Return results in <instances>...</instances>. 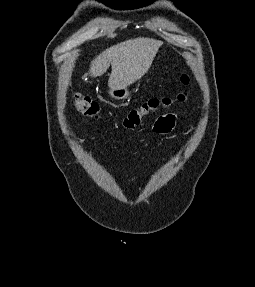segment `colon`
Instances as JSON below:
<instances>
[{"mask_svg":"<svg viewBox=\"0 0 255 287\" xmlns=\"http://www.w3.org/2000/svg\"><path fill=\"white\" fill-rule=\"evenodd\" d=\"M183 84L189 83V77L186 74L181 76ZM187 95L182 93L178 96V101L184 102ZM76 109L85 117L97 119L100 115L99 104L92 98L84 96L80 93L74 95L73 99ZM173 104V100L169 98L150 99L138 108L131 110L124 118L123 125L129 130H135L141 124L142 120L150 114L156 113L161 109H166Z\"/></svg>","mask_w":255,"mask_h":287,"instance_id":"5ec220e1","label":"colon"}]
</instances>
